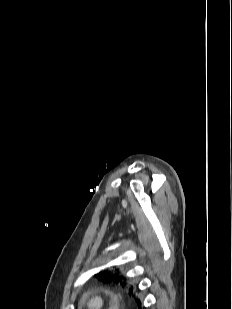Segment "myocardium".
Listing matches in <instances>:
<instances>
[{
  "mask_svg": "<svg viewBox=\"0 0 232 309\" xmlns=\"http://www.w3.org/2000/svg\"><path fill=\"white\" fill-rule=\"evenodd\" d=\"M87 309H103L105 306V298L98 292L90 293L85 301Z\"/></svg>",
  "mask_w": 232,
  "mask_h": 309,
  "instance_id": "f54148a6",
  "label": "myocardium"
}]
</instances>
